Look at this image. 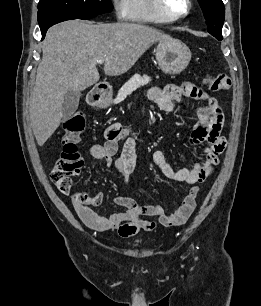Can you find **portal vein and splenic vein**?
Masks as SVG:
<instances>
[{"label":"portal vein and splenic vein","instance_id":"obj_1","mask_svg":"<svg viewBox=\"0 0 261 306\" xmlns=\"http://www.w3.org/2000/svg\"><path fill=\"white\" fill-rule=\"evenodd\" d=\"M104 59L103 58H100V59H98L97 60V63L99 64V65H102V64H104Z\"/></svg>","mask_w":261,"mask_h":306}]
</instances>
